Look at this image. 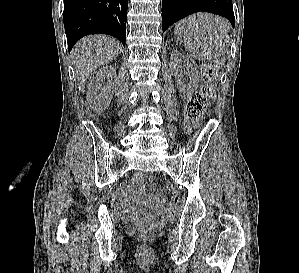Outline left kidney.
<instances>
[{
	"instance_id": "obj_1",
	"label": "left kidney",
	"mask_w": 299,
	"mask_h": 273,
	"mask_svg": "<svg viewBox=\"0 0 299 273\" xmlns=\"http://www.w3.org/2000/svg\"><path fill=\"white\" fill-rule=\"evenodd\" d=\"M171 66L179 92L184 97L191 96L197 89L199 83V70L195 61L178 51H173L171 55ZM186 77H189L188 85L184 83Z\"/></svg>"
}]
</instances>
